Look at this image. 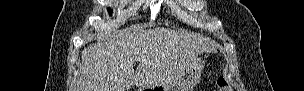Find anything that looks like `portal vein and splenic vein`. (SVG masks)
<instances>
[{"mask_svg": "<svg viewBox=\"0 0 304 91\" xmlns=\"http://www.w3.org/2000/svg\"><path fill=\"white\" fill-rule=\"evenodd\" d=\"M135 60H136V61H141L142 59H140V58H136ZM142 61H144V60H142Z\"/></svg>", "mask_w": 304, "mask_h": 91, "instance_id": "portal-vein-and-splenic-vein-1", "label": "portal vein and splenic vein"}]
</instances>
